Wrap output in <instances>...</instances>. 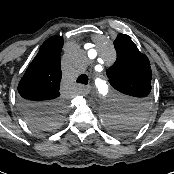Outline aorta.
Masks as SVG:
<instances>
[{"instance_id": "obj_1", "label": "aorta", "mask_w": 174, "mask_h": 174, "mask_svg": "<svg viewBox=\"0 0 174 174\" xmlns=\"http://www.w3.org/2000/svg\"><path fill=\"white\" fill-rule=\"evenodd\" d=\"M107 53L114 57V51L112 48H108ZM95 95L99 104V109L102 113L101 121L109 123V117L111 115L121 117L123 116V111L120 109L114 93L109 86L108 82L103 79H98L95 84Z\"/></svg>"}]
</instances>
